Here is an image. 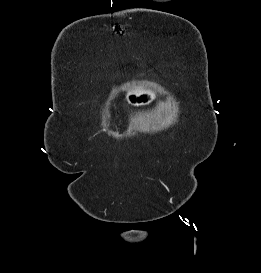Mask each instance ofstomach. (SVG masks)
<instances>
[{
	"label": "stomach",
	"instance_id": "1",
	"mask_svg": "<svg viewBox=\"0 0 261 273\" xmlns=\"http://www.w3.org/2000/svg\"><path fill=\"white\" fill-rule=\"evenodd\" d=\"M156 98V92L147 84H138L130 87L125 94V100L133 106L150 104Z\"/></svg>",
	"mask_w": 261,
	"mask_h": 273
}]
</instances>
